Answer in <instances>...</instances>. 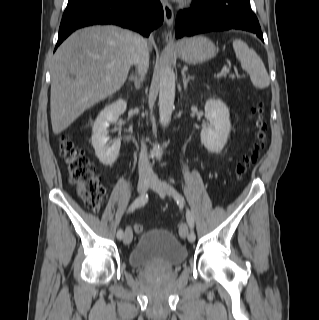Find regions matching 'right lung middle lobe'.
<instances>
[{
  "mask_svg": "<svg viewBox=\"0 0 319 320\" xmlns=\"http://www.w3.org/2000/svg\"><path fill=\"white\" fill-rule=\"evenodd\" d=\"M79 1L80 0H69L68 6L73 5V4H75V3L79 2Z\"/></svg>",
  "mask_w": 319,
  "mask_h": 320,
  "instance_id": "dd1d6c3e",
  "label": "right lung middle lobe"
}]
</instances>
